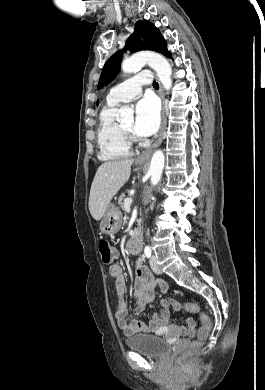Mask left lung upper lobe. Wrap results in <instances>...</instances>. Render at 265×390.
I'll use <instances>...</instances> for the list:
<instances>
[{
  "instance_id": "5c2ea615",
  "label": "left lung upper lobe",
  "mask_w": 265,
  "mask_h": 390,
  "mask_svg": "<svg viewBox=\"0 0 265 390\" xmlns=\"http://www.w3.org/2000/svg\"><path fill=\"white\" fill-rule=\"evenodd\" d=\"M125 50H130L131 52L151 50L166 57H171V53L167 50V44L159 30L149 21H137L135 31L127 40L124 49L113 54L105 63L98 83L99 89L116 77L120 70L123 51Z\"/></svg>"
}]
</instances>
